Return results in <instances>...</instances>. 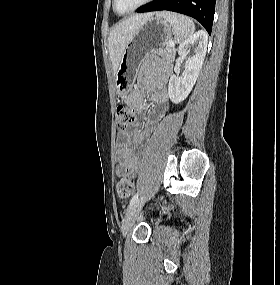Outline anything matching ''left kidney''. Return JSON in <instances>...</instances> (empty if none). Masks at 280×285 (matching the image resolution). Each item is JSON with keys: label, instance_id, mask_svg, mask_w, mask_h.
Masks as SVG:
<instances>
[{"label": "left kidney", "instance_id": "left-kidney-1", "mask_svg": "<svg viewBox=\"0 0 280 285\" xmlns=\"http://www.w3.org/2000/svg\"><path fill=\"white\" fill-rule=\"evenodd\" d=\"M207 42V34L200 30L179 45V59L186 62L182 76L172 75L169 80L168 94L173 103L182 102L191 92L203 65ZM190 51L193 53L192 57H188Z\"/></svg>", "mask_w": 280, "mask_h": 285}]
</instances>
